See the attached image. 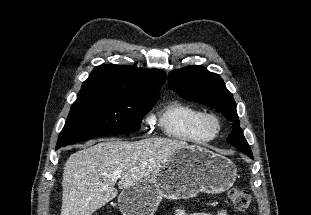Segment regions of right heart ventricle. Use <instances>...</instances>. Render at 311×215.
Instances as JSON below:
<instances>
[{"instance_id": "e07e8e85", "label": "right heart ventricle", "mask_w": 311, "mask_h": 215, "mask_svg": "<svg viewBox=\"0 0 311 215\" xmlns=\"http://www.w3.org/2000/svg\"><path fill=\"white\" fill-rule=\"evenodd\" d=\"M205 112L193 105L171 101L156 115L155 120L168 137L193 144H204L214 136L202 127Z\"/></svg>"}]
</instances>
